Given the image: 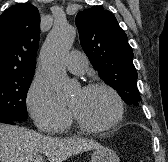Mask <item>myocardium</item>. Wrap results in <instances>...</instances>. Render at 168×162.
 Masks as SVG:
<instances>
[{"mask_svg":"<svg viewBox=\"0 0 168 162\" xmlns=\"http://www.w3.org/2000/svg\"><path fill=\"white\" fill-rule=\"evenodd\" d=\"M94 90H105L112 96V98L114 99L115 104H116V113H115L114 117L109 122H107L105 124L90 125V124H87L84 121H82L75 114V112L71 109L72 117H73L75 123L77 124V126L84 131L93 132V133L108 131V130L114 128L115 126H117L120 123V121L122 120L123 115H124V102H123L121 96L119 95V93L113 87H111L110 85H108L106 83H91V84H88L82 88V91H85V92H90V91H94Z\"/></svg>","mask_w":168,"mask_h":162,"instance_id":"myocardium-1","label":"myocardium"}]
</instances>
